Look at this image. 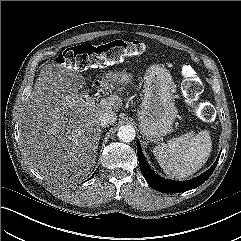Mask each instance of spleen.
<instances>
[{
    "label": "spleen",
    "mask_w": 241,
    "mask_h": 241,
    "mask_svg": "<svg viewBox=\"0 0 241 241\" xmlns=\"http://www.w3.org/2000/svg\"><path fill=\"white\" fill-rule=\"evenodd\" d=\"M212 141L207 130L186 133L153 149L160 167L170 177L183 179L201 169L207 162Z\"/></svg>",
    "instance_id": "3e777b00"
}]
</instances>
